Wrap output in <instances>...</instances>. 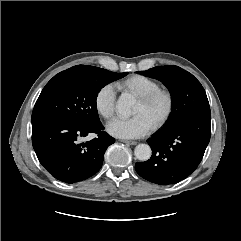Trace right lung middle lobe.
<instances>
[{
    "instance_id": "dd1d6c3e",
    "label": "right lung middle lobe",
    "mask_w": 241,
    "mask_h": 241,
    "mask_svg": "<svg viewBox=\"0 0 241 241\" xmlns=\"http://www.w3.org/2000/svg\"><path fill=\"white\" fill-rule=\"evenodd\" d=\"M91 66L89 70L67 69L43 88L32 113V124L61 120L83 126L100 124L96 98L108 83L126 76Z\"/></svg>"
}]
</instances>
